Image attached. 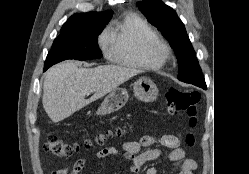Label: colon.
I'll return each instance as SVG.
<instances>
[{
  "label": "colon",
  "instance_id": "5ec220e1",
  "mask_svg": "<svg viewBox=\"0 0 249 174\" xmlns=\"http://www.w3.org/2000/svg\"><path fill=\"white\" fill-rule=\"evenodd\" d=\"M166 104L169 112L173 115L180 112H186L189 118V125L195 128L198 123L197 105L200 101V94L194 91H183L178 88L171 87L165 93ZM104 140L103 136H98L93 141H86L84 148H91L94 143L101 144ZM186 142L189 146H194L197 142L193 132H189L186 136ZM46 151L55 157H67L77 153L81 149L78 143L65 142L56 135H51L45 145Z\"/></svg>",
  "mask_w": 249,
  "mask_h": 174
}]
</instances>
